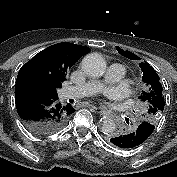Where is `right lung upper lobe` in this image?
<instances>
[{
    "label": "right lung upper lobe",
    "instance_id": "cb5924a9",
    "mask_svg": "<svg viewBox=\"0 0 177 177\" xmlns=\"http://www.w3.org/2000/svg\"><path fill=\"white\" fill-rule=\"evenodd\" d=\"M90 49L86 46L62 42L37 53L20 70L15 84V92L30 90L58 96L68 70Z\"/></svg>",
    "mask_w": 177,
    "mask_h": 177
}]
</instances>
